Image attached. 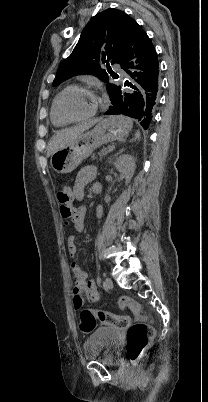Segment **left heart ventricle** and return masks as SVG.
<instances>
[{
  "mask_svg": "<svg viewBox=\"0 0 208 402\" xmlns=\"http://www.w3.org/2000/svg\"><path fill=\"white\" fill-rule=\"evenodd\" d=\"M98 102V95L93 91L72 89L66 92L60 101L62 109L70 116L88 114Z\"/></svg>",
  "mask_w": 208,
  "mask_h": 402,
  "instance_id": "1",
  "label": "left heart ventricle"
}]
</instances>
